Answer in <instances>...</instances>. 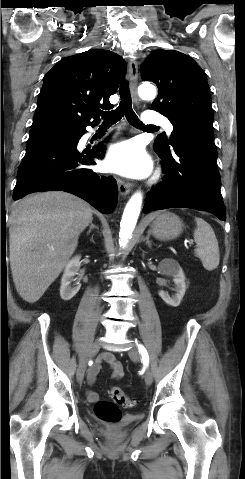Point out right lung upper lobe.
Wrapping results in <instances>:
<instances>
[{
	"mask_svg": "<svg viewBox=\"0 0 245 479\" xmlns=\"http://www.w3.org/2000/svg\"><path fill=\"white\" fill-rule=\"evenodd\" d=\"M125 72L126 62L107 50L91 49L61 60L44 79L31 131L79 130L98 123L97 111L112 107L109 97Z\"/></svg>",
	"mask_w": 245,
	"mask_h": 479,
	"instance_id": "obj_1",
	"label": "right lung upper lobe"
}]
</instances>
